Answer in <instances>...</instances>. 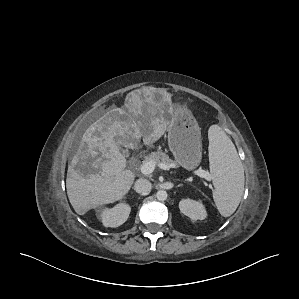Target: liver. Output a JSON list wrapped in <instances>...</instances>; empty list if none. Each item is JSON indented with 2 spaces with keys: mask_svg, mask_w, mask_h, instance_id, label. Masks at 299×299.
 Here are the masks:
<instances>
[{
  "mask_svg": "<svg viewBox=\"0 0 299 299\" xmlns=\"http://www.w3.org/2000/svg\"><path fill=\"white\" fill-rule=\"evenodd\" d=\"M125 106L128 112L115 107L89 126L68 165L67 195L79 215L118 201L129 192L135 175L125 170L119 145L134 149L141 137L145 145H151L167 129L168 122L152 99L145 103L128 98Z\"/></svg>",
  "mask_w": 299,
  "mask_h": 299,
  "instance_id": "6515ba94",
  "label": "liver"
}]
</instances>
